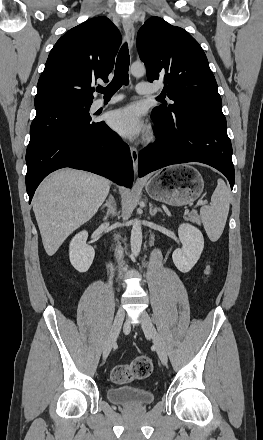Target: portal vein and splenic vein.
<instances>
[{
    "mask_svg": "<svg viewBox=\"0 0 263 440\" xmlns=\"http://www.w3.org/2000/svg\"><path fill=\"white\" fill-rule=\"evenodd\" d=\"M204 204H206L205 201H202V200H201V201H198V202H197V205H196L194 208H196V207H198V206H201V205H204ZM188 213H189V212L186 211V212H185V215H187Z\"/></svg>",
    "mask_w": 263,
    "mask_h": 440,
    "instance_id": "18ae733b",
    "label": "portal vein and splenic vein"
}]
</instances>
